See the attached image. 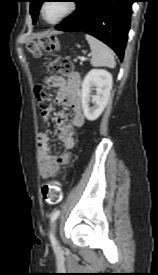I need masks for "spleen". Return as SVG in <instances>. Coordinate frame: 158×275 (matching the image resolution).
I'll use <instances>...</instances> for the list:
<instances>
[{
    "label": "spleen",
    "instance_id": "obj_1",
    "mask_svg": "<svg viewBox=\"0 0 158 275\" xmlns=\"http://www.w3.org/2000/svg\"><path fill=\"white\" fill-rule=\"evenodd\" d=\"M86 40L91 48V64L93 66L115 67L116 62L114 59V53L107 45L91 35H86Z\"/></svg>",
    "mask_w": 158,
    "mask_h": 275
}]
</instances>
